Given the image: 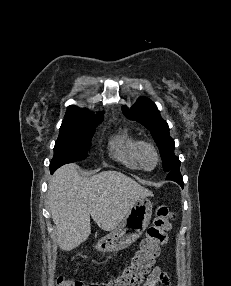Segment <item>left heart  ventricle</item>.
<instances>
[{
	"label": "left heart ventricle",
	"mask_w": 231,
	"mask_h": 286,
	"mask_svg": "<svg viewBox=\"0 0 231 286\" xmlns=\"http://www.w3.org/2000/svg\"><path fill=\"white\" fill-rule=\"evenodd\" d=\"M155 163V158L153 156L152 153H147L146 157H145V164L147 167L151 168L153 167Z\"/></svg>",
	"instance_id": "1"
}]
</instances>
